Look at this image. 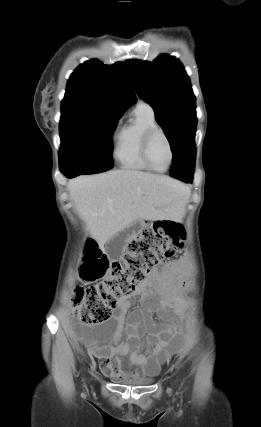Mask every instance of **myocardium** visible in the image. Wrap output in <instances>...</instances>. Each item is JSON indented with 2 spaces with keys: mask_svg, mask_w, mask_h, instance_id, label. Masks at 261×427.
I'll list each match as a JSON object with an SVG mask.
<instances>
[{
  "mask_svg": "<svg viewBox=\"0 0 261 427\" xmlns=\"http://www.w3.org/2000/svg\"><path fill=\"white\" fill-rule=\"evenodd\" d=\"M157 135H161L165 139V141L168 145V148H169V152H170L169 162H168L166 168L163 170L156 169L153 166V164L151 163V160H150V155H149L151 143ZM141 155H142V159L145 162V164L149 167L150 170H152L154 172L163 173V172H166L171 167L173 160H174V150H173L171 140L168 137V135L165 133L164 130H162L159 127H155V128L149 129L144 134L143 139H142V144H141Z\"/></svg>",
  "mask_w": 261,
  "mask_h": 427,
  "instance_id": "f54148a6",
  "label": "myocardium"
}]
</instances>
